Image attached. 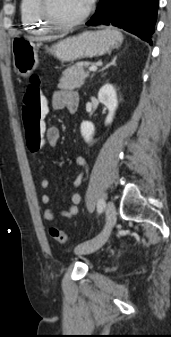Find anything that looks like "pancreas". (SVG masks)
<instances>
[{"label":"pancreas","instance_id":"pancreas-1","mask_svg":"<svg viewBox=\"0 0 171 337\" xmlns=\"http://www.w3.org/2000/svg\"><path fill=\"white\" fill-rule=\"evenodd\" d=\"M89 65V62H82L65 69L59 80L58 88L69 90L80 88L89 76V73L84 70Z\"/></svg>","mask_w":171,"mask_h":337}]
</instances>
